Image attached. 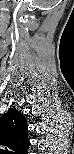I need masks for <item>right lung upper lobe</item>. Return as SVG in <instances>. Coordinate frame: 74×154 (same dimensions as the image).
<instances>
[{"instance_id": "obj_1", "label": "right lung upper lobe", "mask_w": 74, "mask_h": 154, "mask_svg": "<svg viewBox=\"0 0 74 154\" xmlns=\"http://www.w3.org/2000/svg\"><path fill=\"white\" fill-rule=\"evenodd\" d=\"M7 114H8L7 117H6L7 120H9V121L14 120V122L15 121H17V122L21 121V126L23 127V130H26V121H25V118L21 114L16 113V111L15 112L9 111Z\"/></svg>"}]
</instances>
